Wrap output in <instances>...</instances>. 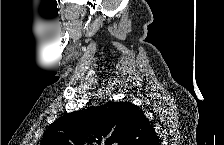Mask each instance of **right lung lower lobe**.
Instances as JSON below:
<instances>
[{
	"label": "right lung lower lobe",
	"mask_w": 224,
	"mask_h": 145,
	"mask_svg": "<svg viewBox=\"0 0 224 145\" xmlns=\"http://www.w3.org/2000/svg\"><path fill=\"white\" fill-rule=\"evenodd\" d=\"M158 144H159V142L154 143V145H158Z\"/></svg>",
	"instance_id": "1"
}]
</instances>
